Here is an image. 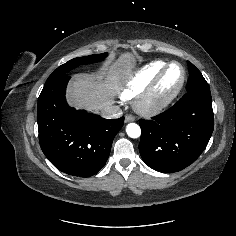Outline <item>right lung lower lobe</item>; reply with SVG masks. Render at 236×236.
I'll return each mask as SVG.
<instances>
[{"label": "right lung lower lobe", "mask_w": 236, "mask_h": 236, "mask_svg": "<svg viewBox=\"0 0 236 236\" xmlns=\"http://www.w3.org/2000/svg\"><path fill=\"white\" fill-rule=\"evenodd\" d=\"M69 79V75H63L43 87L37 108L39 142L57 169L90 177L105 165L124 117L104 119L69 107L65 99Z\"/></svg>", "instance_id": "obj_1"}]
</instances>
